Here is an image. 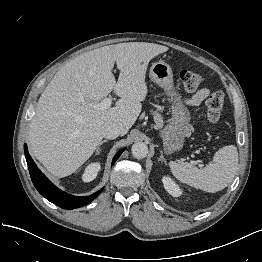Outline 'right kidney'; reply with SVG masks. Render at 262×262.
Wrapping results in <instances>:
<instances>
[{
  "instance_id": "1",
  "label": "right kidney",
  "mask_w": 262,
  "mask_h": 262,
  "mask_svg": "<svg viewBox=\"0 0 262 262\" xmlns=\"http://www.w3.org/2000/svg\"><path fill=\"white\" fill-rule=\"evenodd\" d=\"M100 163H91L86 168L82 175V179L84 182H90L94 180L100 170Z\"/></svg>"
}]
</instances>
